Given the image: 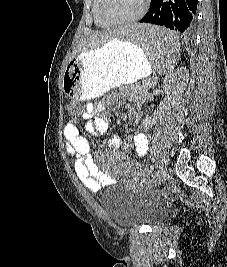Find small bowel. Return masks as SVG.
I'll return each mask as SVG.
<instances>
[{
    "label": "small bowel",
    "mask_w": 227,
    "mask_h": 267,
    "mask_svg": "<svg viewBox=\"0 0 227 267\" xmlns=\"http://www.w3.org/2000/svg\"><path fill=\"white\" fill-rule=\"evenodd\" d=\"M106 111L103 104L86 103L82 106L77 116H71L64 126V137L66 150L74 160V168L79 180L90 190L98 191L106 184L113 182V178L99 171L95 162L89 157L88 140L79 133V126L86 120V129L93 135L105 134L109 128V120L102 115ZM131 117L135 123L140 124L141 113L132 109ZM121 144L119 136L110 139V146L118 149ZM139 157L146 155L148 150V139L144 133L137 130L127 140Z\"/></svg>",
    "instance_id": "c3829d8e"
}]
</instances>
